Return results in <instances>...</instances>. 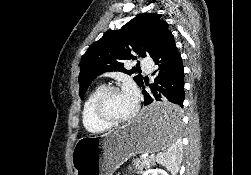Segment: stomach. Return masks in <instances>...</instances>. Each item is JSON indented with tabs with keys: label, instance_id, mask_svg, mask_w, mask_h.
<instances>
[{
	"label": "stomach",
	"instance_id": "obj_1",
	"mask_svg": "<svg viewBox=\"0 0 251 175\" xmlns=\"http://www.w3.org/2000/svg\"><path fill=\"white\" fill-rule=\"evenodd\" d=\"M178 106L168 105V100H157L155 107H145L135 121L117 127L105 135H83L76 141L72 151L75 175H112L128 157L137 154H154L167 148L168 141H177L181 114Z\"/></svg>",
	"mask_w": 251,
	"mask_h": 175
}]
</instances>
